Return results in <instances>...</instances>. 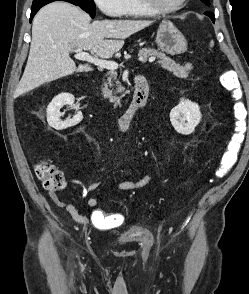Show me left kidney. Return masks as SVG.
<instances>
[{
    "label": "left kidney",
    "instance_id": "left-kidney-1",
    "mask_svg": "<svg viewBox=\"0 0 249 294\" xmlns=\"http://www.w3.org/2000/svg\"><path fill=\"white\" fill-rule=\"evenodd\" d=\"M170 121L174 129L183 135L194 132L201 121V112L198 104L181 98L177 106L170 112Z\"/></svg>",
    "mask_w": 249,
    "mask_h": 294
}]
</instances>
